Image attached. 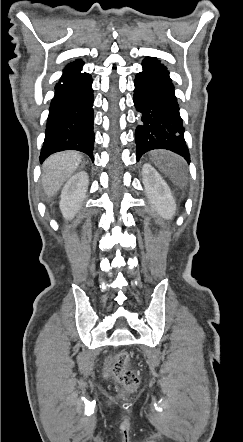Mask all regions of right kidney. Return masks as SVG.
Segmentation results:
<instances>
[{
    "label": "right kidney",
    "mask_w": 243,
    "mask_h": 442,
    "mask_svg": "<svg viewBox=\"0 0 243 442\" xmlns=\"http://www.w3.org/2000/svg\"><path fill=\"white\" fill-rule=\"evenodd\" d=\"M89 177L85 171L76 173L65 184L61 192L60 210L65 219H71L86 198Z\"/></svg>",
    "instance_id": "1"
}]
</instances>
